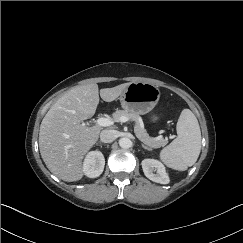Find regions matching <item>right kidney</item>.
Segmentation results:
<instances>
[{
  "label": "right kidney",
  "instance_id": "right-kidney-1",
  "mask_svg": "<svg viewBox=\"0 0 243 243\" xmlns=\"http://www.w3.org/2000/svg\"><path fill=\"white\" fill-rule=\"evenodd\" d=\"M105 166V158L100 151L89 152L83 164V172L89 178L99 177Z\"/></svg>",
  "mask_w": 243,
  "mask_h": 243
}]
</instances>
